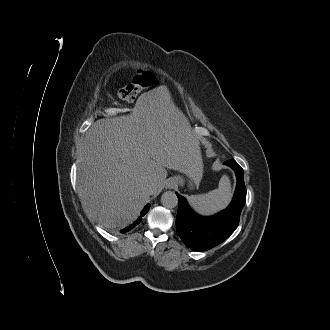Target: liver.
<instances>
[{
  "label": "liver",
  "mask_w": 330,
  "mask_h": 330,
  "mask_svg": "<svg viewBox=\"0 0 330 330\" xmlns=\"http://www.w3.org/2000/svg\"><path fill=\"white\" fill-rule=\"evenodd\" d=\"M199 141L170 99L142 94L133 113L99 119L87 132L77 174L85 212L105 228L134 222L151 195L158 193L167 170L186 173Z\"/></svg>",
  "instance_id": "1"
}]
</instances>
